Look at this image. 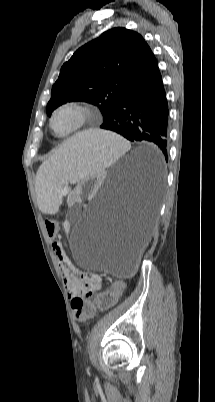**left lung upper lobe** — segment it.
I'll return each instance as SVG.
<instances>
[{
	"label": "left lung upper lobe",
	"instance_id": "left-lung-upper-lobe-1",
	"mask_svg": "<svg viewBox=\"0 0 215 402\" xmlns=\"http://www.w3.org/2000/svg\"><path fill=\"white\" fill-rule=\"evenodd\" d=\"M156 63L140 34L121 27L110 29L64 63L52 87L47 115L66 102L85 101L99 107L105 122Z\"/></svg>",
	"mask_w": 215,
	"mask_h": 402
}]
</instances>
